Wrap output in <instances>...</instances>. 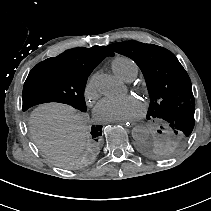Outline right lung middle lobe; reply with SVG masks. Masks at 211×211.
Listing matches in <instances>:
<instances>
[{
  "label": "right lung middle lobe",
  "instance_id": "right-lung-middle-lobe-1",
  "mask_svg": "<svg viewBox=\"0 0 211 211\" xmlns=\"http://www.w3.org/2000/svg\"><path fill=\"white\" fill-rule=\"evenodd\" d=\"M93 67L46 59L29 73L23 88V111L46 103L60 102L85 112L84 89ZM102 126H92L91 136L98 141Z\"/></svg>",
  "mask_w": 211,
  "mask_h": 211
}]
</instances>
